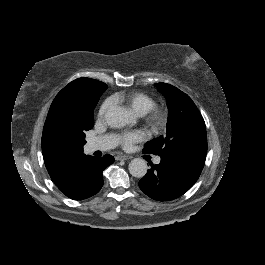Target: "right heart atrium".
<instances>
[{"label":"right heart atrium","instance_id":"1","mask_svg":"<svg viewBox=\"0 0 265 265\" xmlns=\"http://www.w3.org/2000/svg\"><path fill=\"white\" fill-rule=\"evenodd\" d=\"M113 107H114V102L112 101V99L104 100L98 110V118L104 119L109 113V111L113 109Z\"/></svg>","mask_w":265,"mask_h":265}]
</instances>
